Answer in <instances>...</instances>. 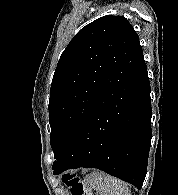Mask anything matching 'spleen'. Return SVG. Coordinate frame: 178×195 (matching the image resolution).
<instances>
[{"instance_id":"3e777b00","label":"spleen","mask_w":178,"mask_h":195,"mask_svg":"<svg viewBox=\"0 0 178 195\" xmlns=\"http://www.w3.org/2000/svg\"><path fill=\"white\" fill-rule=\"evenodd\" d=\"M91 189L99 195H131L128 185L103 172H93L86 177Z\"/></svg>"}]
</instances>
